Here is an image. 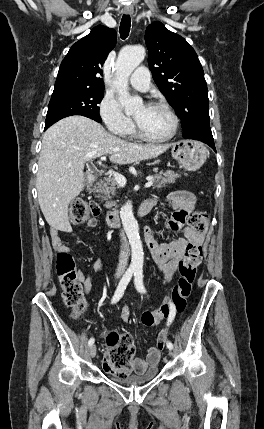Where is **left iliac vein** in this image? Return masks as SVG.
<instances>
[{
  "label": "left iliac vein",
  "instance_id": "obj_1",
  "mask_svg": "<svg viewBox=\"0 0 264 429\" xmlns=\"http://www.w3.org/2000/svg\"><path fill=\"white\" fill-rule=\"evenodd\" d=\"M169 355H170V356H173V352H172V350H171V349H169Z\"/></svg>",
  "mask_w": 264,
  "mask_h": 429
}]
</instances>
